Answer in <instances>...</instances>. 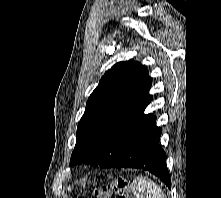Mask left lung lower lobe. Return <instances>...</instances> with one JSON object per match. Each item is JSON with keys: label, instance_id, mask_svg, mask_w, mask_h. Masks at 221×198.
<instances>
[{"label": "left lung lower lobe", "instance_id": "left-lung-lower-lobe-1", "mask_svg": "<svg viewBox=\"0 0 221 198\" xmlns=\"http://www.w3.org/2000/svg\"><path fill=\"white\" fill-rule=\"evenodd\" d=\"M161 133L162 129L156 126V116L152 114L119 149L111 153L100 168L130 167L148 170L171 188L166 154L159 144Z\"/></svg>", "mask_w": 221, "mask_h": 198}]
</instances>
